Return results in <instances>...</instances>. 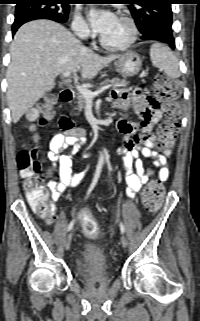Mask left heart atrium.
<instances>
[{
  "label": "left heart atrium",
  "mask_w": 200,
  "mask_h": 321,
  "mask_svg": "<svg viewBox=\"0 0 200 321\" xmlns=\"http://www.w3.org/2000/svg\"><path fill=\"white\" fill-rule=\"evenodd\" d=\"M88 17L94 30L100 34L105 33L116 20L114 13L99 9L89 10Z\"/></svg>",
  "instance_id": "1"
}]
</instances>
